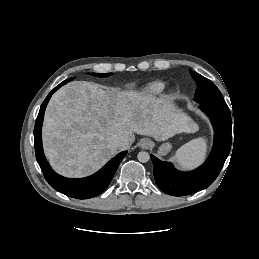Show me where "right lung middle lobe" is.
I'll use <instances>...</instances> for the list:
<instances>
[{"instance_id":"right-lung-middle-lobe-1","label":"right lung middle lobe","mask_w":259,"mask_h":259,"mask_svg":"<svg viewBox=\"0 0 259 259\" xmlns=\"http://www.w3.org/2000/svg\"><path fill=\"white\" fill-rule=\"evenodd\" d=\"M112 73H92V75H94V76H97V77H108V76H110ZM74 78H70V79H67V80H65V81H63L64 82V84H66L67 82H69V81H71V80H73Z\"/></svg>"}]
</instances>
